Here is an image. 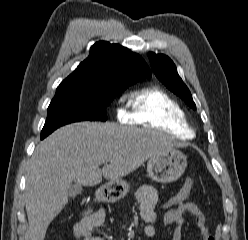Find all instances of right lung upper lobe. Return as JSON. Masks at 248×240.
<instances>
[{
	"mask_svg": "<svg viewBox=\"0 0 248 240\" xmlns=\"http://www.w3.org/2000/svg\"><path fill=\"white\" fill-rule=\"evenodd\" d=\"M151 76L146 62L136 53L106 41L96 42L90 55L57 89L115 88Z\"/></svg>",
	"mask_w": 248,
	"mask_h": 240,
	"instance_id": "right-lung-upper-lobe-1",
	"label": "right lung upper lobe"
}]
</instances>
